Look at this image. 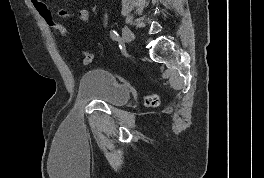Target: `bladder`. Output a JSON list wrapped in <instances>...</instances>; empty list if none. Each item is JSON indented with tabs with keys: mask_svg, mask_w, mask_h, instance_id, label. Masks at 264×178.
<instances>
[{
	"mask_svg": "<svg viewBox=\"0 0 264 178\" xmlns=\"http://www.w3.org/2000/svg\"><path fill=\"white\" fill-rule=\"evenodd\" d=\"M82 100H98L113 106H123L130 99L128 87L105 69H94L82 74L78 84Z\"/></svg>",
	"mask_w": 264,
	"mask_h": 178,
	"instance_id": "31cf9c89",
	"label": "bladder"
}]
</instances>
